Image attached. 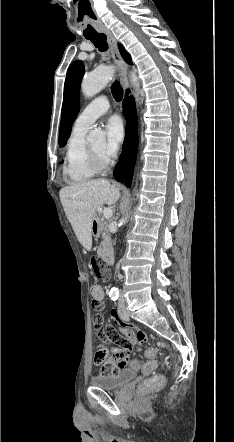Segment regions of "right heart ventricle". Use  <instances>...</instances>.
<instances>
[{"label": "right heart ventricle", "mask_w": 234, "mask_h": 442, "mask_svg": "<svg viewBox=\"0 0 234 442\" xmlns=\"http://www.w3.org/2000/svg\"><path fill=\"white\" fill-rule=\"evenodd\" d=\"M86 133L85 129L73 127L67 142L63 174L72 184L87 182L98 173L90 163Z\"/></svg>", "instance_id": "1"}]
</instances>
